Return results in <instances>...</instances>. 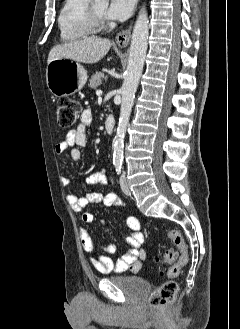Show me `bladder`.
I'll use <instances>...</instances> for the list:
<instances>
[{
  "instance_id": "1",
  "label": "bladder",
  "mask_w": 240,
  "mask_h": 329,
  "mask_svg": "<svg viewBox=\"0 0 240 329\" xmlns=\"http://www.w3.org/2000/svg\"><path fill=\"white\" fill-rule=\"evenodd\" d=\"M110 280L113 284L136 298L143 297L150 289L149 282L140 276H112Z\"/></svg>"
}]
</instances>
